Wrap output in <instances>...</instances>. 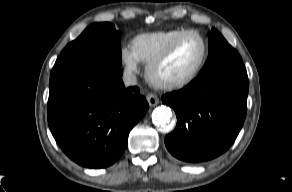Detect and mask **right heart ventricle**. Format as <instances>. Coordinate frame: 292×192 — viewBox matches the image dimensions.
<instances>
[{
    "label": "right heart ventricle",
    "mask_w": 292,
    "mask_h": 192,
    "mask_svg": "<svg viewBox=\"0 0 292 192\" xmlns=\"http://www.w3.org/2000/svg\"><path fill=\"white\" fill-rule=\"evenodd\" d=\"M184 31L186 29L176 28L139 34L132 40V49L140 62L149 64Z\"/></svg>",
    "instance_id": "right-heart-ventricle-1"
}]
</instances>
